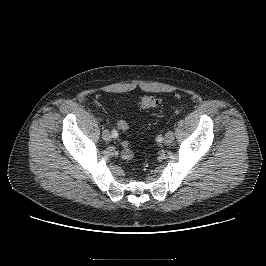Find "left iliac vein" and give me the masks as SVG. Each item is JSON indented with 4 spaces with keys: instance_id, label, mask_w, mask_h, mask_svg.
Returning a JSON list of instances; mask_svg holds the SVG:
<instances>
[{
    "instance_id": "1",
    "label": "left iliac vein",
    "mask_w": 266,
    "mask_h": 266,
    "mask_svg": "<svg viewBox=\"0 0 266 266\" xmlns=\"http://www.w3.org/2000/svg\"><path fill=\"white\" fill-rule=\"evenodd\" d=\"M174 140V133L172 131H168L164 137V143L170 144Z\"/></svg>"
}]
</instances>
